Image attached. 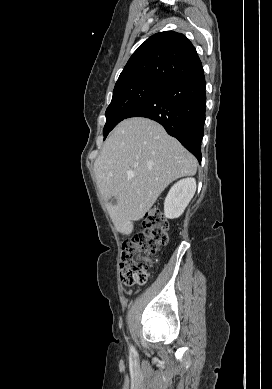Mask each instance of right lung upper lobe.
Wrapping results in <instances>:
<instances>
[{"label":"right lung upper lobe","mask_w":272,"mask_h":389,"mask_svg":"<svg viewBox=\"0 0 272 389\" xmlns=\"http://www.w3.org/2000/svg\"><path fill=\"white\" fill-rule=\"evenodd\" d=\"M201 65L196 49L186 36L173 31L159 32L133 53L115 87L142 80L167 84Z\"/></svg>","instance_id":"right-lung-upper-lobe-1"}]
</instances>
